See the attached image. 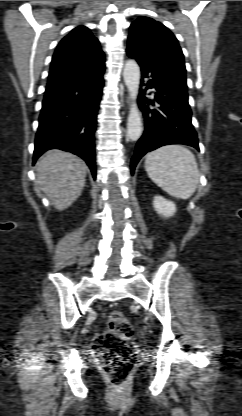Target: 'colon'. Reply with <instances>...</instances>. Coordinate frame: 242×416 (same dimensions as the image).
Instances as JSON below:
<instances>
[{
  "label": "colon",
  "instance_id": "5ec220e1",
  "mask_svg": "<svg viewBox=\"0 0 242 416\" xmlns=\"http://www.w3.org/2000/svg\"><path fill=\"white\" fill-rule=\"evenodd\" d=\"M107 323L108 329L97 335L94 349L109 381L117 385L127 380L137 359L132 324L121 310L111 311Z\"/></svg>",
  "mask_w": 242,
  "mask_h": 416
}]
</instances>
